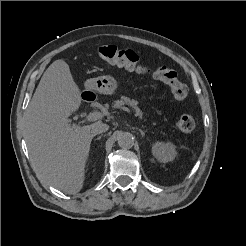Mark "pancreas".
I'll return each instance as SVG.
<instances>
[{"label": "pancreas", "mask_w": 246, "mask_h": 246, "mask_svg": "<svg viewBox=\"0 0 246 246\" xmlns=\"http://www.w3.org/2000/svg\"><path fill=\"white\" fill-rule=\"evenodd\" d=\"M124 105H129L131 106L135 111H136V114L139 116V117H142V112L140 110V108L137 106L138 105V102L136 100H131L130 98L128 97H123L121 100H115L113 102V108L117 109V108H121L122 106Z\"/></svg>", "instance_id": "cf45deb5"}]
</instances>
